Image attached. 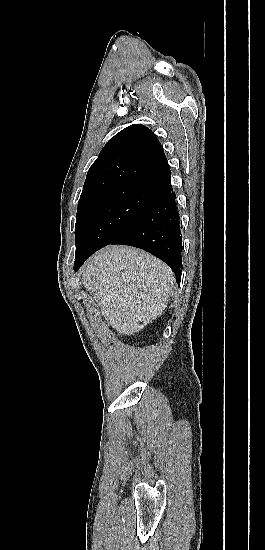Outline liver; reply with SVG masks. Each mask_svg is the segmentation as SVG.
<instances>
[{
  "mask_svg": "<svg viewBox=\"0 0 265 550\" xmlns=\"http://www.w3.org/2000/svg\"><path fill=\"white\" fill-rule=\"evenodd\" d=\"M82 283L112 328L134 335L162 315L175 277L168 265L149 253L108 246L86 262Z\"/></svg>",
  "mask_w": 265,
  "mask_h": 550,
  "instance_id": "liver-1",
  "label": "liver"
}]
</instances>
